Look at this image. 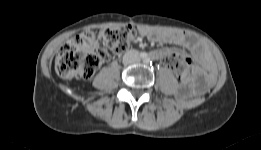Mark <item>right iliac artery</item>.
<instances>
[{
    "instance_id": "1",
    "label": "right iliac artery",
    "mask_w": 261,
    "mask_h": 150,
    "mask_svg": "<svg viewBox=\"0 0 261 150\" xmlns=\"http://www.w3.org/2000/svg\"><path fill=\"white\" fill-rule=\"evenodd\" d=\"M140 56H141V58H146V57H147V54H146L145 52H142V53L140 54Z\"/></svg>"
}]
</instances>
